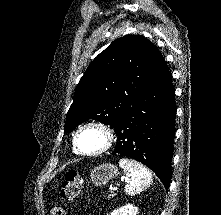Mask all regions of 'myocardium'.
<instances>
[{
  "mask_svg": "<svg viewBox=\"0 0 221 215\" xmlns=\"http://www.w3.org/2000/svg\"><path fill=\"white\" fill-rule=\"evenodd\" d=\"M89 128H94V129L99 130L103 134L104 143L101 146V148H99L96 151L84 152L78 146V138L84 130L89 129ZM114 141H115V132L108 124L102 121H97V120L90 121L81 125L75 132V135L73 137V148L75 152L79 155L93 157V156H98L107 152L113 146Z\"/></svg>",
  "mask_w": 221,
  "mask_h": 215,
  "instance_id": "f54148a6",
  "label": "myocardium"
}]
</instances>
